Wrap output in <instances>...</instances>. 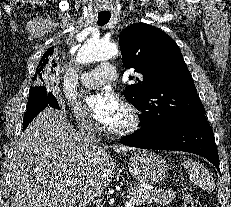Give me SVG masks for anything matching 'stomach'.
Segmentation results:
<instances>
[{
    "label": "stomach",
    "mask_w": 231,
    "mask_h": 207,
    "mask_svg": "<svg viewBox=\"0 0 231 207\" xmlns=\"http://www.w3.org/2000/svg\"><path fill=\"white\" fill-rule=\"evenodd\" d=\"M128 168L136 180L144 185L160 183L169 172V166L165 159L145 149L134 152L130 156Z\"/></svg>",
    "instance_id": "stomach-1"
}]
</instances>
